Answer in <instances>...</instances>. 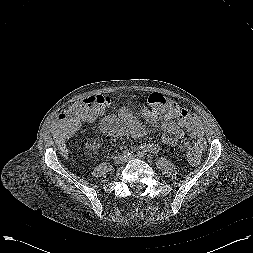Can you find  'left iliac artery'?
Masks as SVG:
<instances>
[{
    "mask_svg": "<svg viewBox=\"0 0 253 253\" xmlns=\"http://www.w3.org/2000/svg\"><path fill=\"white\" fill-rule=\"evenodd\" d=\"M137 155H138L139 157H144V156H145V153L142 152V151H138V152H137Z\"/></svg>",
    "mask_w": 253,
    "mask_h": 253,
    "instance_id": "1",
    "label": "left iliac artery"
}]
</instances>
